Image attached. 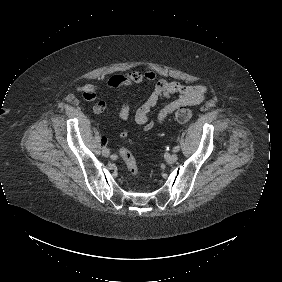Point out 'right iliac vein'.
I'll use <instances>...</instances> for the list:
<instances>
[{
    "instance_id": "obj_1",
    "label": "right iliac vein",
    "mask_w": 282,
    "mask_h": 282,
    "mask_svg": "<svg viewBox=\"0 0 282 282\" xmlns=\"http://www.w3.org/2000/svg\"><path fill=\"white\" fill-rule=\"evenodd\" d=\"M102 154H103L105 157H109L110 151L105 148V149L102 150Z\"/></svg>"
}]
</instances>
